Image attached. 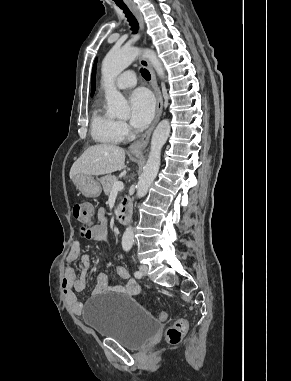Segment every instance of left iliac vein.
Wrapping results in <instances>:
<instances>
[{
  "label": "left iliac vein",
  "mask_w": 291,
  "mask_h": 381,
  "mask_svg": "<svg viewBox=\"0 0 291 381\" xmlns=\"http://www.w3.org/2000/svg\"><path fill=\"white\" fill-rule=\"evenodd\" d=\"M139 271L142 273V275H146L148 271V266L146 265H140Z\"/></svg>",
  "instance_id": "1"
}]
</instances>
